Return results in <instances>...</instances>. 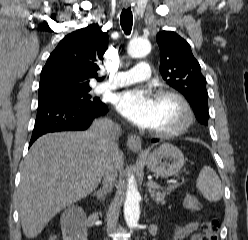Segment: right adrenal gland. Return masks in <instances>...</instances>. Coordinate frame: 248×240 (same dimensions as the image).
I'll return each instance as SVG.
<instances>
[{"mask_svg":"<svg viewBox=\"0 0 248 240\" xmlns=\"http://www.w3.org/2000/svg\"><path fill=\"white\" fill-rule=\"evenodd\" d=\"M105 195H106V190L104 188L97 190L93 193V196H96L99 201H103L105 199Z\"/></svg>","mask_w":248,"mask_h":240,"instance_id":"2a0ac1e0","label":"right adrenal gland"}]
</instances>
